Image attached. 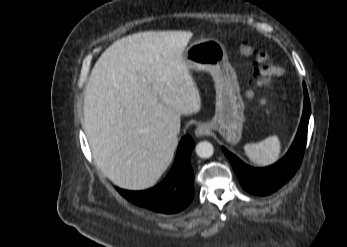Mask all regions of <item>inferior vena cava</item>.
<instances>
[{
  "instance_id": "obj_1",
  "label": "inferior vena cava",
  "mask_w": 347,
  "mask_h": 247,
  "mask_svg": "<svg viewBox=\"0 0 347 247\" xmlns=\"http://www.w3.org/2000/svg\"><path fill=\"white\" fill-rule=\"evenodd\" d=\"M172 133L174 134H178L179 131H180V127L179 126H173L172 129H171Z\"/></svg>"
}]
</instances>
